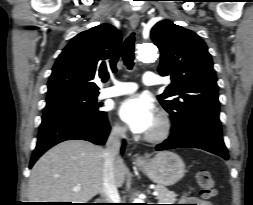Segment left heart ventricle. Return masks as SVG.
Listing matches in <instances>:
<instances>
[{
	"label": "left heart ventricle",
	"instance_id": "b2bd125f",
	"mask_svg": "<svg viewBox=\"0 0 253 205\" xmlns=\"http://www.w3.org/2000/svg\"><path fill=\"white\" fill-rule=\"evenodd\" d=\"M156 126H157V122L155 123V125H154V127L151 129V131L155 130ZM151 131H150V132H151Z\"/></svg>",
	"mask_w": 253,
	"mask_h": 205
}]
</instances>
